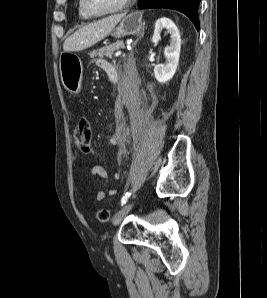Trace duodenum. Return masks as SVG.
Returning <instances> with one entry per match:
<instances>
[{
	"label": "duodenum",
	"mask_w": 267,
	"mask_h": 298,
	"mask_svg": "<svg viewBox=\"0 0 267 298\" xmlns=\"http://www.w3.org/2000/svg\"><path fill=\"white\" fill-rule=\"evenodd\" d=\"M109 79L111 82H113L114 84L118 82V72L115 68H113L109 73H108Z\"/></svg>",
	"instance_id": "duodenum-1"
}]
</instances>
